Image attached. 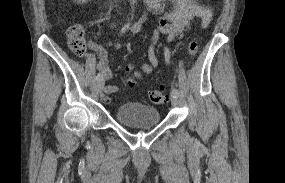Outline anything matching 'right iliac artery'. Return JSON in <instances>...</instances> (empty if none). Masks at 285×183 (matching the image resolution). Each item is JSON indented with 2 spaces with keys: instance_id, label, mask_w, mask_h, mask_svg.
<instances>
[{
  "instance_id": "1",
  "label": "right iliac artery",
  "mask_w": 285,
  "mask_h": 183,
  "mask_svg": "<svg viewBox=\"0 0 285 183\" xmlns=\"http://www.w3.org/2000/svg\"><path fill=\"white\" fill-rule=\"evenodd\" d=\"M129 25H130V23L126 24V25L122 28L121 32H122V33L125 32V31L129 28ZM96 79H97L98 81L101 80V79H103V74H102V73H98Z\"/></svg>"
}]
</instances>
